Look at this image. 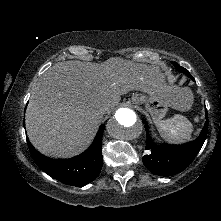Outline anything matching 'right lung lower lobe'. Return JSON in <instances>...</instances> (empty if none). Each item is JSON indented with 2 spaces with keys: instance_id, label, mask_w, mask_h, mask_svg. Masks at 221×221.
<instances>
[{
  "instance_id": "right-lung-lower-lobe-1",
  "label": "right lung lower lobe",
  "mask_w": 221,
  "mask_h": 221,
  "mask_svg": "<svg viewBox=\"0 0 221 221\" xmlns=\"http://www.w3.org/2000/svg\"><path fill=\"white\" fill-rule=\"evenodd\" d=\"M102 125L90 145L82 154L70 159H50L40 154L27 139L31 155L41 170L54 179L71 186L86 185L99 175L103 157L101 152Z\"/></svg>"
}]
</instances>
